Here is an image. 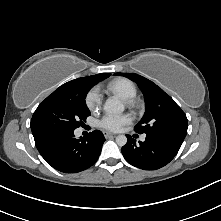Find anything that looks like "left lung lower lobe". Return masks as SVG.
Segmentation results:
<instances>
[{"instance_id":"0a47b994","label":"left lung lower lobe","mask_w":221,"mask_h":221,"mask_svg":"<svg viewBox=\"0 0 221 221\" xmlns=\"http://www.w3.org/2000/svg\"><path fill=\"white\" fill-rule=\"evenodd\" d=\"M121 151L127 162L144 170H156L168 164L178 153L184 138L176 135H147L136 143L130 135Z\"/></svg>"}]
</instances>
